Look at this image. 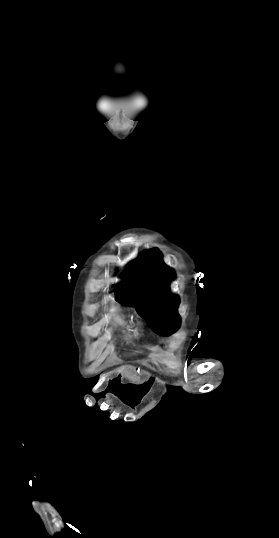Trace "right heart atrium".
<instances>
[{
  "instance_id": "right-heart-atrium-1",
  "label": "right heart atrium",
  "mask_w": 279,
  "mask_h": 538,
  "mask_svg": "<svg viewBox=\"0 0 279 538\" xmlns=\"http://www.w3.org/2000/svg\"><path fill=\"white\" fill-rule=\"evenodd\" d=\"M138 236H139V234H138V233H135V234H134V237H136V238H137Z\"/></svg>"
}]
</instances>
